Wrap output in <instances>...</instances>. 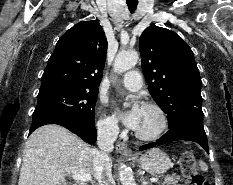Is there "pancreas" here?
<instances>
[{
  "instance_id": "obj_1",
  "label": "pancreas",
  "mask_w": 233,
  "mask_h": 185,
  "mask_svg": "<svg viewBox=\"0 0 233 185\" xmlns=\"http://www.w3.org/2000/svg\"><path fill=\"white\" fill-rule=\"evenodd\" d=\"M179 181H181L180 176H165L164 181L159 183V185H178Z\"/></svg>"
}]
</instances>
